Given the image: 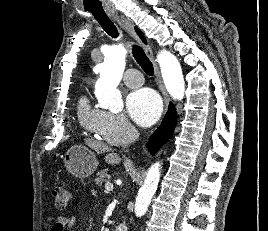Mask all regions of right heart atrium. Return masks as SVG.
<instances>
[{"instance_id":"d8ad5b80","label":"right heart atrium","mask_w":268,"mask_h":231,"mask_svg":"<svg viewBox=\"0 0 268 231\" xmlns=\"http://www.w3.org/2000/svg\"><path fill=\"white\" fill-rule=\"evenodd\" d=\"M132 131L126 117L120 113L104 112L99 125V136L111 144H120L123 138Z\"/></svg>"}]
</instances>
